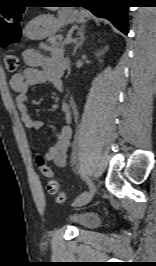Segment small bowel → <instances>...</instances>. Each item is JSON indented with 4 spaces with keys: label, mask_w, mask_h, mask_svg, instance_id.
I'll list each match as a JSON object with an SVG mask.
<instances>
[{
    "label": "small bowel",
    "mask_w": 156,
    "mask_h": 266,
    "mask_svg": "<svg viewBox=\"0 0 156 266\" xmlns=\"http://www.w3.org/2000/svg\"><path fill=\"white\" fill-rule=\"evenodd\" d=\"M22 57L27 67L21 73L14 74L10 78V87L15 93L16 108L26 128L36 131L47 127L54 133L53 144L42 158L45 161H52L58 167H65L67 151L72 138L73 116L71 108L67 103L61 105L60 110L64 123L61 129L45 125L41 120L33 118L28 112V89L37 84L49 83L57 91L62 92L66 59L58 49L51 50V54L48 56L30 48L22 52Z\"/></svg>",
    "instance_id": "obj_1"
}]
</instances>
